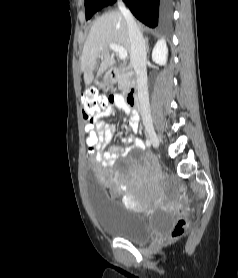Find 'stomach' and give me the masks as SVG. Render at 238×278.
Listing matches in <instances>:
<instances>
[{"label":"stomach","mask_w":238,"mask_h":278,"mask_svg":"<svg viewBox=\"0 0 238 278\" xmlns=\"http://www.w3.org/2000/svg\"><path fill=\"white\" fill-rule=\"evenodd\" d=\"M116 82V79L112 76L111 72H107L104 75L103 84L104 85H111Z\"/></svg>","instance_id":"0dacf381"}]
</instances>
